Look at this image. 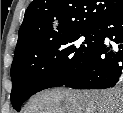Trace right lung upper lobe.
Segmentation results:
<instances>
[{
  "mask_svg": "<svg viewBox=\"0 0 123 113\" xmlns=\"http://www.w3.org/2000/svg\"><path fill=\"white\" fill-rule=\"evenodd\" d=\"M122 4L123 0H33L25 12L17 46L70 30L94 28Z\"/></svg>",
  "mask_w": 123,
  "mask_h": 113,
  "instance_id": "obj_1",
  "label": "right lung upper lobe"
}]
</instances>
